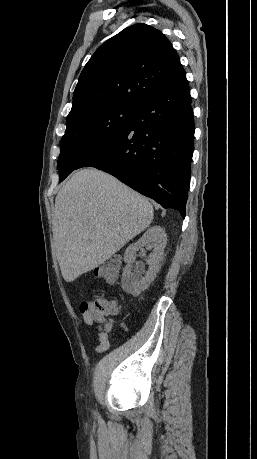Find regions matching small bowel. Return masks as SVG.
Masks as SVG:
<instances>
[{
	"label": "small bowel",
	"mask_w": 257,
	"mask_h": 459,
	"mask_svg": "<svg viewBox=\"0 0 257 459\" xmlns=\"http://www.w3.org/2000/svg\"><path fill=\"white\" fill-rule=\"evenodd\" d=\"M115 280L109 281V283H114ZM112 303V312L110 316H114L118 313L119 307L116 301H111ZM82 318L84 322L89 326H96L99 332V344L95 348L96 353H102L108 350L110 346L109 342V333L113 326V319H109L106 323L103 324V320L96 319L91 313H83Z\"/></svg>",
	"instance_id": "1"
}]
</instances>
